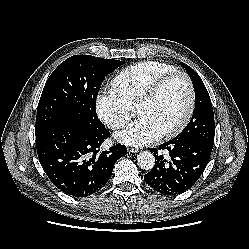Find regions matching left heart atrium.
<instances>
[{
    "label": "left heart atrium",
    "mask_w": 249,
    "mask_h": 249,
    "mask_svg": "<svg viewBox=\"0 0 249 249\" xmlns=\"http://www.w3.org/2000/svg\"><path fill=\"white\" fill-rule=\"evenodd\" d=\"M163 134V130L155 121L149 117L140 116L125 130L118 133L116 138L128 145L144 146L159 140Z\"/></svg>",
    "instance_id": "1"
}]
</instances>
